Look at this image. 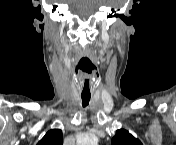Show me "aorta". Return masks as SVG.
<instances>
[{"label": "aorta", "instance_id": "762f6f07", "mask_svg": "<svg viewBox=\"0 0 176 145\" xmlns=\"http://www.w3.org/2000/svg\"><path fill=\"white\" fill-rule=\"evenodd\" d=\"M98 139L92 134H86L83 137V144L85 145H97Z\"/></svg>", "mask_w": 176, "mask_h": 145}]
</instances>
